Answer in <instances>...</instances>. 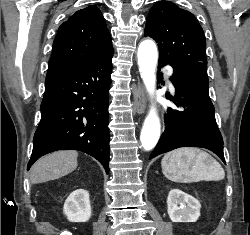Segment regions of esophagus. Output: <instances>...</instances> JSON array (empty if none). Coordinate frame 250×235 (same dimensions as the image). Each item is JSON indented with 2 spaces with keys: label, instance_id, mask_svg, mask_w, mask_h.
Here are the masks:
<instances>
[{
  "label": "esophagus",
  "instance_id": "esophagus-1",
  "mask_svg": "<svg viewBox=\"0 0 250 235\" xmlns=\"http://www.w3.org/2000/svg\"><path fill=\"white\" fill-rule=\"evenodd\" d=\"M134 109L138 114H143L145 111L144 90L139 83L133 91Z\"/></svg>",
  "mask_w": 250,
  "mask_h": 235
}]
</instances>
